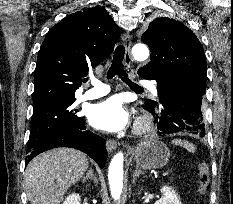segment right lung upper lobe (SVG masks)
Returning a JSON list of instances; mask_svg holds the SVG:
<instances>
[{"label": "right lung upper lobe", "mask_w": 233, "mask_h": 204, "mask_svg": "<svg viewBox=\"0 0 233 204\" xmlns=\"http://www.w3.org/2000/svg\"><path fill=\"white\" fill-rule=\"evenodd\" d=\"M119 38V27L99 6L68 15L53 26L38 54L33 103L75 97L82 77L113 52Z\"/></svg>", "instance_id": "cb5924a9"}]
</instances>
